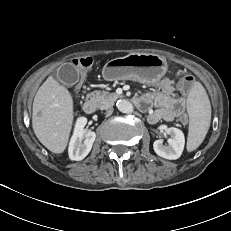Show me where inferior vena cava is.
I'll return each instance as SVG.
<instances>
[{
	"label": "inferior vena cava",
	"mask_w": 231,
	"mask_h": 231,
	"mask_svg": "<svg viewBox=\"0 0 231 231\" xmlns=\"http://www.w3.org/2000/svg\"><path fill=\"white\" fill-rule=\"evenodd\" d=\"M112 113H113V109H112V108H109V109L106 111V115H107V116H110Z\"/></svg>",
	"instance_id": "obj_1"
}]
</instances>
